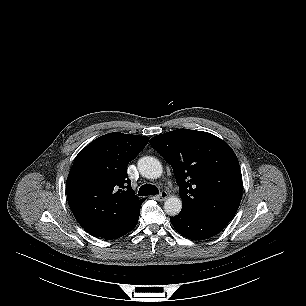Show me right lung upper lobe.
<instances>
[{"mask_svg":"<svg viewBox=\"0 0 306 306\" xmlns=\"http://www.w3.org/2000/svg\"><path fill=\"white\" fill-rule=\"evenodd\" d=\"M149 137L123 133L103 135L76 156L66 182L69 206L89 234L117 238L132 222L145 199L135 196L127 165Z\"/></svg>","mask_w":306,"mask_h":306,"instance_id":"1","label":"right lung upper lobe"}]
</instances>
